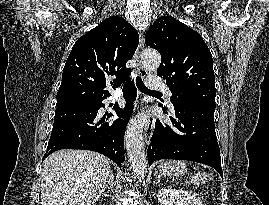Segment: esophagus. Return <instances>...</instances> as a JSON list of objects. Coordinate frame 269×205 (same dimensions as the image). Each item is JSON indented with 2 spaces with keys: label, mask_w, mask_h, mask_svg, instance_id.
<instances>
[{
  "label": "esophagus",
  "mask_w": 269,
  "mask_h": 205,
  "mask_svg": "<svg viewBox=\"0 0 269 205\" xmlns=\"http://www.w3.org/2000/svg\"><path fill=\"white\" fill-rule=\"evenodd\" d=\"M143 47H144V35H143L142 32H140L139 45H138V48H137V50L135 52L134 58L137 61V70H138L139 75L142 78H146L147 71L142 66L141 59H140ZM154 126H155V117L152 114H150L148 122H147V124L145 126V129H144L145 141H146L147 144L150 143V138H151V134L153 132Z\"/></svg>",
  "instance_id": "obj_1"
}]
</instances>
